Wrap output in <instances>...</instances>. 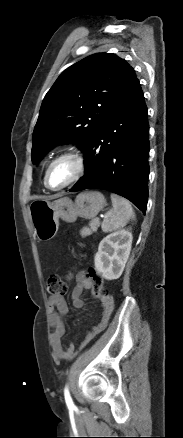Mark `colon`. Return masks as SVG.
<instances>
[{"mask_svg": "<svg viewBox=\"0 0 183 438\" xmlns=\"http://www.w3.org/2000/svg\"><path fill=\"white\" fill-rule=\"evenodd\" d=\"M88 277L92 281L91 293L94 298H102L109 293L104 288L101 275L95 268H89ZM68 289L67 283L58 275H52L47 281V293L49 297L63 296Z\"/></svg>", "mask_w": 183, "mask_h": 438, "instance_id": "5ec220e1", "label": "colon"}]
</instances>
